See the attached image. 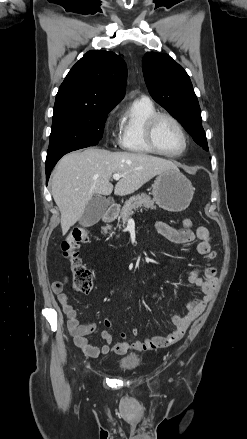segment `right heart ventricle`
Instances as JSON below:
<instances>
[{
	"instance_id": "obj_1",
	"label": "right heart ventricle",
	"mask_w": 247,
	"mask_h": 439,
	"mask_svg": "<svg viewBox=\"0 0 247 439\" xmlns=\"http://www.w3.org/2000/svg\"><path fill=\"white\" fill-rule=\"evenodd\" d=\"M156 113L157 109L149 99L135 100L121 117L120 147L129 152L154 153L145 139V125Z\"/></svg>"
}]
</instances>
